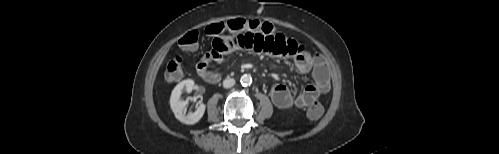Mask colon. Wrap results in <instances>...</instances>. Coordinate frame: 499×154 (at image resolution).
<instances>
[{"label":"colon","mask_w":499,"mask_h":154,"mask_svg":"<svg viewBox=\"0 0 499 154\" xmlns=\"http://www.w3.org/2000/svg\"><path fill=\"white\" fill-rule=\"evenodd\" d=\"M258 31L263 34L271 35L277 33V28L273 24L266 21L253 19H232L227 22L214 23L206 27L205 32L209 36H217L226 31L241 32V31ZM198 32L189 31L185 33L179 40V46L183 49H194L198 44ZM183 73V59L180 56H175L166 66L165 76L170 81H176L181 78ZM324 112V108L318 101H314L307 110V116L316 120L319 119Z\"/></svg>","instance_id":"1"}]
</instances>
